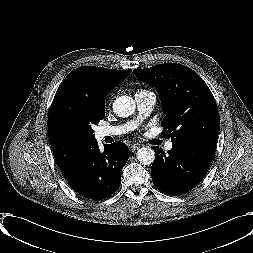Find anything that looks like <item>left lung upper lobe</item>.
<instances>
[{
	"label": "left lung upper lobe",
	"mask_w": 253,
	"mask_h": 253,
	"mask_svg": "<svg viewBox=\"0 0 253 253\" xmlns=\"http://www.w3.org/2000/svg\"><path fill=\"white\" fill-rule=\"evenodd\" d=\"M134 74L153 85L165 114L163 134L173 143H207L216 146L220 117L207 84L192 69L180 64H159L135 69Z\"/></svg>",
	"instance_id": "left-lung-upper-lobe-1"
}]
</instances>
